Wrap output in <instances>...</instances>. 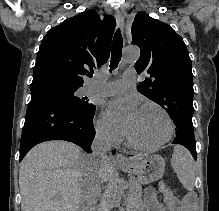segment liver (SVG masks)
Here are the masks:
<instances>
[{"instance_id": "liver-1", "label": "liver", "mask_w": 219, "mask_h": 211, "mask_svg": "<svg viewBox=\"0 0 219 211\" xmlns=\"http://www.w3.org/2000/svg\"><path fill=\"white\" fill-rule=\"evenodd\" d=\"M90 155L70 141H43L21 161L19 185L22 211H78L88 199L98 201L100 183L115 177L114 159L91 167ZM129 159H142L132 155Z\"/></svg>"}]
</instances>
